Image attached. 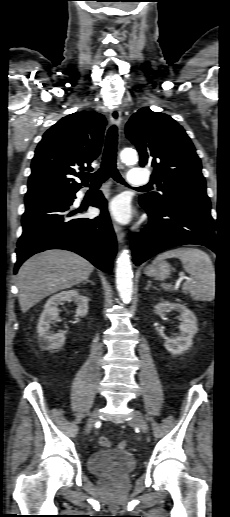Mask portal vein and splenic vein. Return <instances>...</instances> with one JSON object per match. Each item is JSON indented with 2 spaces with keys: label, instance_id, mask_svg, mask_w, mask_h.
I'll list each match as a JSON object with an SVG mask.
<instances>
[{
  "label": "portal vein and splenic vein",
  "instance_id": "obj_1",
  "mask_svg": "<svg viewBox=\"0 0 230 517\" xmlns=\"http://www.w3.org/2000/svg\"><path fill=\"white\" fill-rule=\"evenodd\" d=\"M185 279H186V280H188V281H191V280H192L191 278L186 277V276H184L183 274H181V275H180V278H179V280H178V283H181V282H182L183 280H185Z\"/></svg>",
  "mask_w": 230,
  "mask_h": 517
}]
</instances>
